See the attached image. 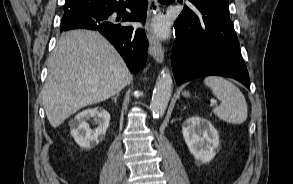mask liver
<instances>
[{
    "label": "liver",
    "instance_id": "1",
    "mask_svg": "<svg viewBox=\"0 0 293 184\" xmlns=\"http://www.w3.org/2000/svg\"><path fill=\"white\" fill-rule=\"evenodd\" d=\"M132 81L116 49L97 31L75 29L58 41L42 90L47 119L57 128L80 109L100 103Z\"/></svg>",
    "mask_w": 293,
    "mask_h": 184
}]
</instances>
